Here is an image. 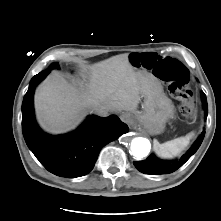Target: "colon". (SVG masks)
I'll return each instance as SVG.
<instances>
[{"label":"colon","instance_id":"obj_1","mask_svg":"<svg viewBox=\"0 0 221 221\" xmlns=\"http://www.w3.org/2000/svg\"><path fill=\"white\" fill-rule=\"evenodd\" d=\"M134 61L137 66L151 70L157 78L165 82L170 94L179 101L181 112L190 121L195 120L194 96L188 87L189 72L180 61L171 57L163 58L155 53L142 54Z\"/></svg>","mask_w":221,"mask_h":221}]
</instances>
